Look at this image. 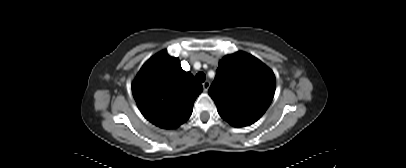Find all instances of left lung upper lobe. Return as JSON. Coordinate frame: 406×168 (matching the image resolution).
Segmentation results:
<instances>
[{"mask_svg":"<svg viewBox=\"0 0 406 168\" xmlns=\"http://www.w3.org/2000/svg\"><path fill=\"white\" fill-rule=\"evenodd\" d=\"M274 92V73L260 60L241 51L219 62L209 88V95L224 120L247 125L264 114Z\"/></svg>","mask_w":406,"mask_h":168,"instance_id":"5c2ea615","label":"left lung upper lobe"}]
</instances>
